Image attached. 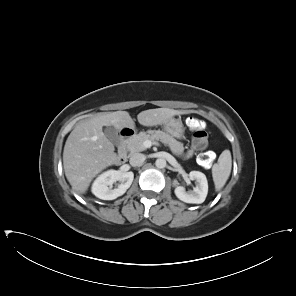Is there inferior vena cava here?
<instances>
[{
	"instance_id": "inferior-vena-cava-1",
	"label": "inferior vena cava",
	"mask_w": 296,
	"mask_h": 296,
	"mask_svg": "<svg viewBox=\"0 0 296 296\" xmlns=\"http://www.w3.org/2000/svg\"><path fill=\"white\" fill-rule=\"evenodd\" d=\"M145 160L146 156L144 154L134 153L131 155L129 162L132 166H140L144 163Z\"/></svg>"
}]
</instances>
